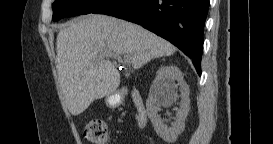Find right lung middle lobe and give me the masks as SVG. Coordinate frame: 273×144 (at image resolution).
<instances>
[{"label": "right lung middle lobe", "mask_w": 273, "mask_h": 144, "mask_svg": "<svg viewBox=\"0 0 273 144\" xmlns=\"http://www.w3.org/2000/svg\"><path fill=\"white\" fill-rule=\"evenodd\" d=\"M109 0H55L52 5L53 21L65 17H72L92 13L93 10L105 4Z\"/></svg>", "instance_id": "1"}]
</instances>
